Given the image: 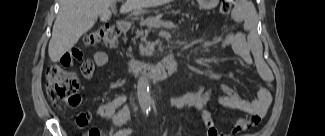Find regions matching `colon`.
<instances>
[{
  "instance_id": "colon-1",
  "label": "colon",
  "mask_w": 325,
  "mask_h": 136,
  "mask_svg": "<svg viewBox=\"0 0 325 136\" xmlns=\"http://www.w3.org/2000/svg\"><path fill=\"white\" fill-rule=\"evenodd\" d=\"M233 6V0H222L219 8L220 15L226 17ZM119 31L116 27L104 25L91 31L86 37L89 46L113 48L117 44ZM47 93L55 103H67L76 105L79 97L76 95L79 81L75 74H72L62 66L54 64L46 71ZM86 136H100L97 129H90Z\"/></svg>"
}]
</instances>
